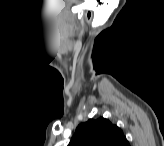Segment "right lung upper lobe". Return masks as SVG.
Listing matches in <instances>:
<instances>
[{
  "label": "right lung upper lobe",
  "mask_w": 164,
  "mask_h": 146,
  "mask_svg": "<svg viewBox=\"0 0 164 146\" xmlns=\"http://www.w3.org/2000/svg\"><path fill=\"white\" fill-rule=\"evenodd\" d=\"M69 146H129V143L116 125L100 117L81 123Z\"/></svg>",
  "instance_id": "1"
}]
</instances>
